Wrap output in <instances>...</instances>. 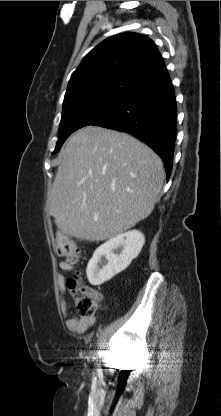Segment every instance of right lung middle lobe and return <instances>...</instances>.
Here are the masks:
<instances>
[{"label": "right lung middle lobe", "instance_id": "dd1d6c3e", "mask_svg": "<svg viewBox=\"0 0 221 416\" xmlns=\"http://www.w3.org/2000/svg\"><path fill=\"white\" fill-rule=\"evenodd\" d=\"M130 92L127 89H102L63 103L56 153L74 131L104 119Z\"/></svg>", "mask_w": 221, "mask_h": 416}]
</instances>
